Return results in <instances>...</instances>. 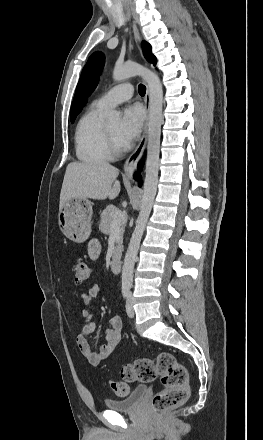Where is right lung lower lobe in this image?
Instances as JSON below:
<instances>
[{
	"mask_svg": "<svg viewBox=\"0 0 263 440\" xmlns=\"http://www.w3.org/2000/svg\"><path fill=\"white\" fill-rule=\"evenodd\" d=\"M142 162H140L139 163V165H138V170L139 171H141V169H142ZM135 178L137 179V180H140V176H139V173H135ZM141 185V182H139V186Z\"/></svg>",
	"mask_w": 263,
	"mask_h": 440,
	"instance_id": "right-lung-lower-lobe-1",
	"label": "right lung lower lobe"
}]
</instances>
